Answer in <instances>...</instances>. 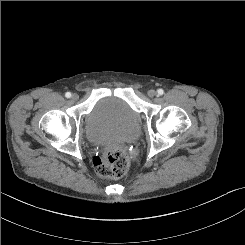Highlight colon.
<instances>
[{
	"instance_id": "5ec220e1",
	"label": "colon",
	"mask_w": 245,
	"mask_h": 245,
	"mask_svg": "<svg viewBox=\"0 0 245 245\" xmlns=\"http://www.w3.org/2000/svg\"><path fill=\"white\" fill-rule=\"evenodd\" d=\"M130 165L126 151L121 147L106 149L101 155L93 158V166L98 175L105 178L123 177Z\"/></svg>"
}]
</instances>
